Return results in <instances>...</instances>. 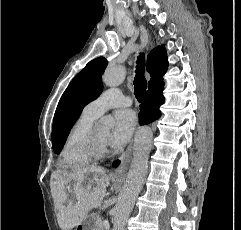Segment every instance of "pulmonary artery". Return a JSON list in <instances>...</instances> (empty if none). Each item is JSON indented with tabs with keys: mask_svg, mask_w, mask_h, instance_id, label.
Instances as JSON below:
<instances>
[{
	"mask_svg": "<svg viewBox=\"0 0 241 230\" xmlns=\"http://www.w3.org/2000/svg\"><path fill=\"white\" fill-rule=\"evenodd\" d=\"M129 105H131V99L129 97L124 96L117 88H110L102 92L96 99L89 102L85 106L84 111L98 118L108 109Z\"/></svg>",
	"mask_w": 241,
	"mask_h": 230,
	"instance_id": "1",
	"label": "pulmonary artery"
}]
</instances>
